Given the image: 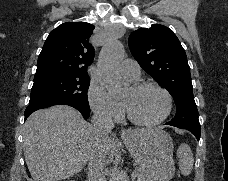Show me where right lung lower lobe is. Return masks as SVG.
I'll list each match as a JSON object with an SVG mask.
<instances>
[{
  "label": "right lung lower lobe",
  "mask_w": 228,
  "mask_h": 181,
  "mask_svg": "<svg viewBox=\"0 0 228 181\" xmlns=\"http://www.w3.org/2000/svg\"><path fill=\"white\" fill-rule=\"evenodd\" d=\"M59 104H64V105H69L72 106L74 108H76L77 110L80 111V113L82 114V116L87 119L90 115V111H84L80 108H77L71 104L65 103V102H46V103H39V104H34V105H28L26 110H25V120L27 119V117L33 113L36 110L42 109V108H47L53 105H59Z\"/></svg>",
  "instance_id": "1"
}]
</instances>
